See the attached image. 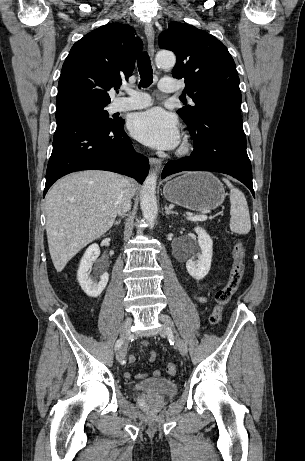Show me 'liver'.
Listing matches in <instances>:
<instances>
[{
    "label": "liver",
    "instance_id": "6515ba94",
    "mask_svg": "<svg viewBox=\"0 0 305 461\" xmlns=\"http://www.w3.org/2000/svg\"><path fill=\"white\" fill-rule=\"evenodd\" d=\"M123 177L112 172L87 170L57 181L45 199L49 252L61 272L87 244L106 233L117 215ZM134 195L136 184L129 181Z\"/></svg>",
    "mask_w": 305,
    "mask_h": 461
}]
</instances>
